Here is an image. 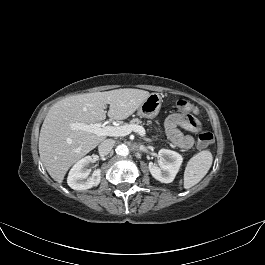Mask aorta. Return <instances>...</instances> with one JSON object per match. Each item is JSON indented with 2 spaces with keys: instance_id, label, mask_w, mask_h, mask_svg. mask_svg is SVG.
<instances>
[{
  "instance_id": "aorta-1",
  "label": "aorta",
  "mask_w": 265,
  "mask_h": 265,
  "mask_svg": "<svg viewBox=\"0 0 265 265\" xmlns=\"http://www.w3.org/2000/svg\"><path fill=\"white\" fill-rule=\"evenodd\" d=\"M116 153L120 156H127L129 154V149L126 145H118L116 148Z\"/></svg>"
}]
</instances>
